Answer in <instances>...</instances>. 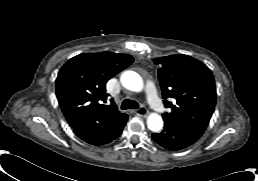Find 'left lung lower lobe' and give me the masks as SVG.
<instances>
[{
    "label": "left lung lower lobe",
    "mask_w": 258,
    "mask_h": 181,
    "mask_svg": "<svg viewBox=\"0 0 258 181\" xmlns=\"http://www.w3.org/2000/svg\"><path fill=\"white\" fill-rule=\"evenodd\" d=\"M202 134L203 131L183 124L165 122L164 130L161 133H153L152 138L160 146L176 151L190 146Z\"/></svg>",
    "instance_id": "obj_1"
}]
</instances>
